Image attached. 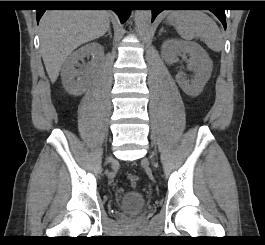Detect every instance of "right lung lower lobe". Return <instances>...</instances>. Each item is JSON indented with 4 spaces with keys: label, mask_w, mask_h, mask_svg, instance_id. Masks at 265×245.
Masks as SVG:
<instances>
[{
    "label": "right lung lower lobe",
    "mask_w": 265,
    "mask_h": 245,
    "mask_svg": "<svg viewBox=\"0 0 265 245\" xmlns=\"http://www.w3.org/2000/svg\"><path fill=\"white\" fill-rule=\"evenodd\" d=\"M97 2V3H96ZM56 6H69L67 3H56ZM80 7H110L111 10H114L120 17L121 22L124 23L129 16L130 9L126 8V1H85L80 3ZM45 9L37 10V22H39L40 18L44 14Z\"/></svg>",
    "instance_id": "obj_1"
}]
</instances>
